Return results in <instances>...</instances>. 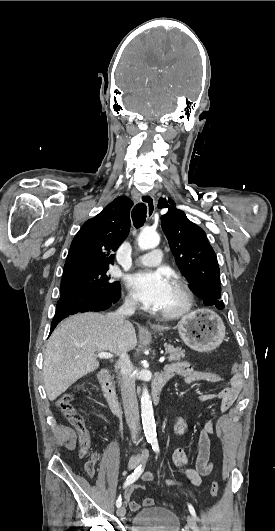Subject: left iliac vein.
I'll use <instances>...</instances> for the list:
<instances>
[{"label":"left iliac vein","instance_id":"obj_1","mask_svg":"<svg viewBox=\"0 0 275 531\" xmlns=\"http://www.w3.org/2000/svg\"><path fill=\"white\" fill-rule=\"evenodd\" d=\"M148 458H149V454L146 453L145 459L147 460ZM187 524L192 531H200L199 528L197 527L195 519L191 515H188L187 517Z\"/></svg>","mask_w":275,"mask_h":531}]
</instances>
